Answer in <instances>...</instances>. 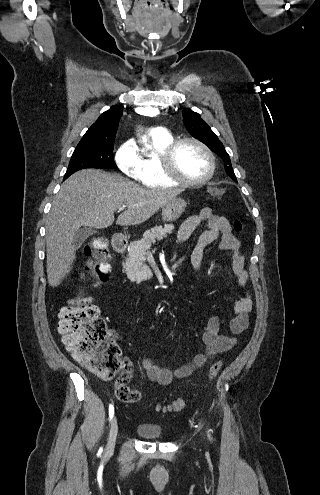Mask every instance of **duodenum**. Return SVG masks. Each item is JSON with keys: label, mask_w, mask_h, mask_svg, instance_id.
I'll list each match as a JSON object with an SVG mask.
<instances>
[{"label": "duodenum", "mask_w": 320, "mask_h": 495, "mask_svg": "<svg viewBox=\"0 0 320 495\" xmlns=\"http://www.w3.org/2000/svg\"><path fill=\"white\" fill-rule=\"evenodd\" d=\"M112 242L116 252L123 253L126 250L127 243L121 234H115Z\"/></svg>", "instance_id": "duodenum-1"}]
</instances>
